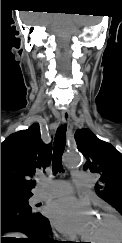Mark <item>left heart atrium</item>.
Returning <instances> with one entry per match:
<instances>
[{"label": "left heart atrium", "instance_id": "obj_1", "mask_svg": "<svg viewBox=\"0 0 122 243\" xmlns=\"http://www.w3.org/2000/svg\"><path fill=\"white\" fill-rule=\"evenodd\" d=\"M47 215L58 230L69 236H85L94 217L86 201L72 196H64L51 202Z\"/></svg>", "mask_w": 122, "mask_h": 243}]
</instances>
